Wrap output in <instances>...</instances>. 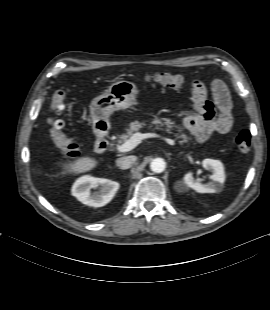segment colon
Returning <instances> with one entry per match:
<instances>
[{"label": "colon", "mask_w": 270, "mask_h": 310, "mask_svg": "<svg viewBox=\"0 0 270 310\" xmlns=\"http://www.w3.org/2000/svg\"><path fill=\"white\" fill-rule=\"evenodd\" d=\"M147 79L170 88H180L185 82L183 76L168 72L156 73L148 76ZM66 100L67 92L65 90H57L53 94L50 103L51 115L48 118V124L50 126L52 140L58 146L62 155L66 158H76L80 154V147L77 140L64 133V121L55 117V115H60L65 109ZM204 106L207 111L214 112L213 105L209 101ZM236 145L242 154L248 155L251 149L250 133L246 130L239 132L236 136Z\"/></svg>", "instance_id": "obj_1"}]
</instances>
